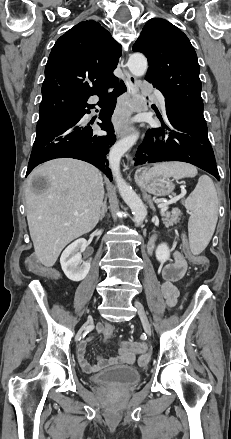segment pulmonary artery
<instances>
[{"label": "pulmonary artery", "mask_w": 231, "mask_h": 439, "mask_svg": "<svg viewBox=\"0 0 231 439\" xmlns=\"http://www.w3.org/2000/svg\"><path fill=\"white\" fill-rule=\"evenodd\" d=\"M155 95L158 99V103H159L161 109L165 112L166 111L165 98L163 97V95L159 91H155Z\"/></svg>", "instance_id": "e3ab8cb5"}]
</instances>
